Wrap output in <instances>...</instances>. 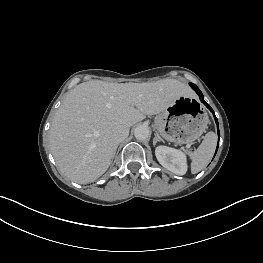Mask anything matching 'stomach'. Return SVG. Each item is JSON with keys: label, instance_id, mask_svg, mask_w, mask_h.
<instances>
[{"label": "stomach", "instance_id": "1", "mask_svg": "<svg viewBox=\"0 0 263 263\" xmlns=\"http://www.w3.org/2000/svg\"><path fill=\"white\" fill-rule=\"evenodd\" d=\"M208 115L191 95L174 100L155 118V126L163 138L176 143H189L207 128Z\"/></svg>", "mask_w": 263, "mask_h": 263}]
</instances>
